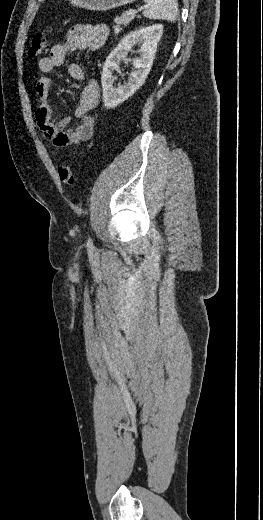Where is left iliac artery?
<instances>
[{
  "instance_id": "left-iliac-artery-1",
  "label": "left iliac artery",
  "mask_w": 263,
  "mask_h": 520,
  "mask_svg": "<svg viewBox=\"0 0 263 520\" xmlns=\"http://www.w3.org/2000/svg\"><path fill=\"white\" fill-rule=\"evenodd\" d=\"M87 246H88L89 248H92V247H93V242H92L91 238L88 239V241H87Z\"/></svg>"
}]
</instances>
